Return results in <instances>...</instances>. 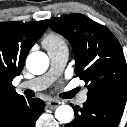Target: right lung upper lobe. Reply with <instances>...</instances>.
I'll return each mask as SVG.
<instances>
[{"label": "right lung upper lobe", "instance_id": "1", "mask_svg": "<svg viewBox=\"0 0 127 127\" xmlns=\"http://www.w3.org/2000/svg\"><path fill=\"white\" fill-rule=\"evenodd\" d=\"M47 28V20L0 23V118L24 99L12 80L22 71L25 59Z\"/></svg>", "mask_w": 127, "mask_h": 127}]
</instances>
